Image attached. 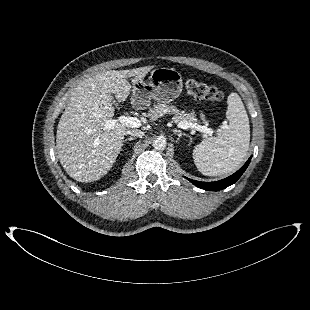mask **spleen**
I'll return each mask as SVG.
<instances>
[{"label":"spleen","mask_w":310,"mask_h":310,"mask_svg":"<svg viewBox=\"0 0 310 310\" xmlns=\"http://www.w3.org/2000/svg\"><path fill=\"white\" fill-rule=\"evenodd\" d=\"M229 120L215 137L195 146L193 159L198 170L207 176H219L235 170L245 158L250 142V125L240 96L232 92L227 98Z\"/></svg>","instance_id":"1"}]
</instances>
